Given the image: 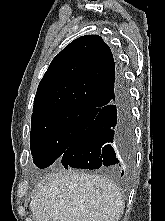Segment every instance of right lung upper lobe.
I'll return each instance as SVG.
<instances>
[{
	"label": "right lung upper lobe",
	"instance_id": "right-lung-upper-lobe-1",
	"mask_svg": "<svg viewBox=\"0 0 165 221\" xmlns=\"http://www.w3.org/2000/svg\"><path fill=\"white\" fill-rule=\"evenodd\" d=\"M117 80L112 52L103 39L79 37L51 62L38 86L32 115L62 107L99 110L114 96Z\"/></svg>",
	"mask_w": 165,
	"mask_h": 221
}]
</instances>
